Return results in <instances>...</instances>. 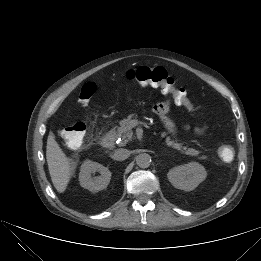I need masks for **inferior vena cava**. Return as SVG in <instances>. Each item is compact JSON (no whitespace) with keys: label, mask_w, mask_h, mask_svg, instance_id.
<instances>
[{"label":"inferior vena cava","mask_w":261,"mask_h":261,"mask_svg":"<svg viewBox=\"0 0 261 261\" xmlns=\"http://www.w3.org/2000/svg\"><path fill=\"white\" fill-rule=\"evenodd\" d=\"M130 156V151L127 149H117L113 154V158L118 161H123Z\"/></svg>","instance_id":"602c4592"}]
</instances>
